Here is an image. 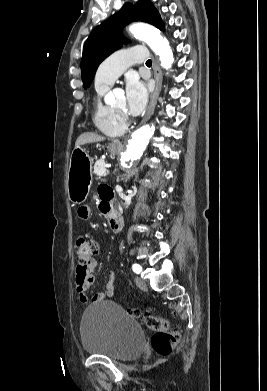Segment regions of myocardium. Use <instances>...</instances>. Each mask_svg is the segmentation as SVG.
I'll list each match as a JSON object with an SVG mask.
<instances>
[{
	"label": "myocardium",
	"mask_w": 267,
	"mask_h": 391,
	"mask_svg": "<svg viewBox=\"0 0 267 391\" xmlns=\"http://www.w3.org/2000/svg\"><path fill=\"white\" fill-rule=\"evenodd\" d=\"M114 115L117 117V119L123 123L124 125H126V123L128 122V117L127 115L125 114V112L123 110H119V109H116L114 107H111Z\"/></svg>",
	"instance_id": "f54148a6"
}]
</instances>
